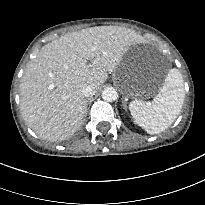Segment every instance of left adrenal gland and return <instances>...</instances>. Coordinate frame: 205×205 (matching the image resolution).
I'll use <instances>...</instances> for the list:
<instances>
[{"mask_svg": "<svg viewBox=\"0 0 205 205\" xmlns=\"http://www.w3.org/2000/svg\"><path fill=\"white\" fill-rule=\"evenodd\" d=\"M122 106H123L124 108H126V103H125L124 100H122Z\"/></svg>", "mask_w": 205, "mask_h": 205, "instance_id": "a2214340", "label": "left adrenal gland"}]
</instances>
